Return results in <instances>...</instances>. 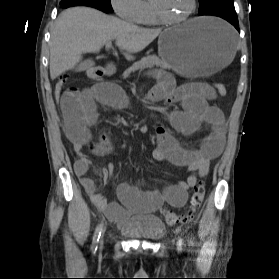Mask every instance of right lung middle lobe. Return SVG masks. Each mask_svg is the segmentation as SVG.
<instances>
[{
    "label": "right lung middle lobe",
    "mask_w": 279,
    "mask_h": 279,
    "mask_svg": "<svg viewBox=\"0 0 279 279\" xmlns=\"http://www.w3.org/2000/svg\"><path fill=\"white\" fill-rule=\"evenodd\" d=\"M103 8H105L108 12H112V6L110 0H96Z\"/></svg>",
    "instance_id": "right-lung-middle-lobe-1"
}]
</instances>
